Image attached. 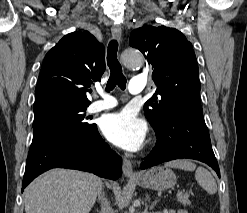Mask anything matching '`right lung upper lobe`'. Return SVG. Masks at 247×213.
<instances>
[{"label": "right lung upper lobe", "mask_w": 247, "mask_h": 213, "mask_svg": "<svg viewBox=\"0 0 247 213\" xmlns=\"http://www.w3.org/2000/svg\"><path fill=\"white\" fill-rule=\"evenodd\" d=\"M104 71V46L88 31L67 34L44 58L33 110L56 101L89 105L86 92Z\"/></svg>", "instance_id": "right-lung-upper-lobe-1"}]
</instances>
